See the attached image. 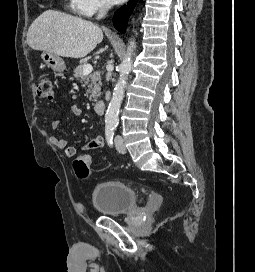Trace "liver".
<instances>
[{"label":"liver","mask_w":255,"mask_h":272,"mask_svg":"<svg viewBox=\"0 0 255 272\" xmlns=\"http://www.w3.org/2000/svg\"><path fill=\"white\" fill-rule=\"evenodd\" d=\"M102 39L103 31L98 25L60 11L47 10L31 24L26 41L34 50L83 58Z\"/></svg>","instance_id":"obj_1"}]
</instances>
